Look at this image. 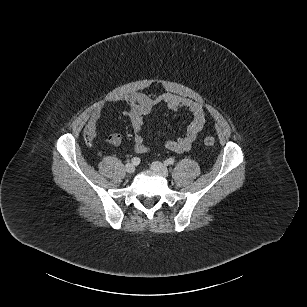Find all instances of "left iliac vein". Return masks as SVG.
Masks as SVG:
<instances>
[{"instance_id": "4c4485c4", "label": "left iliac vein", "mask_w": 307, "mask_h": 307, "mask_svg": "<svg viewBox=\"0 0 307 307\" xmlns=\"http://www.w3.org/2000/svg\"><path fill=\"white\" fill-rule=\"evenodd\" d=\"M151 169L167 177L169 175L168 168L161 162L155 161L151 164Z\"/></svg>"}]
</instances>
